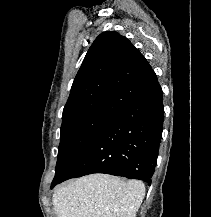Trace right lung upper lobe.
I'll return each instance as SVG.
<instances>
[{
	"mask_svg": "<svg viewBox=\"0 0 211 217\" xmlns=\"http://www.w3.org/2000/svg\"><path fill=\"white\" fill-rule=\"evenodd\" d=\"M158 83L145 57L117 32L101 33L89 48L63 110V122L96 112H120Z\"/></svg>",
	"mask_w": 211,
	"mask_h": 217,
	"instance_id": "obj_1",
	"label": "right lung upper lobe"
}]
</instances>
